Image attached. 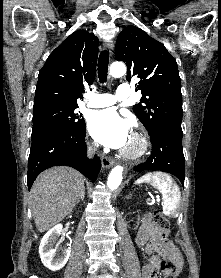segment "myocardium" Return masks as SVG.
<instances>
[{
	"mask_svg": "<svg viewBox=\"0 0 221 278\" xmlns=\"http://www.w3.org/2000/svg\"><path fill=\"white\" fill-rule=\"evenodd\" d=\"M131 140L135 142L136 146L133 149H123L120 154L128 160H137L145 156L149 148V141L147 137L139 132H134Z\"/></svg>",
	"mask_w": 221,
	"mask_h": 278,
	"instance_id": "f54148a6",
	"label": "myocardium"
}]
</instances>
